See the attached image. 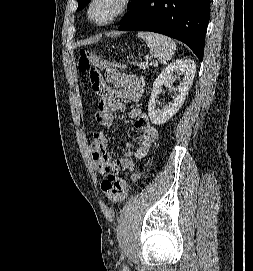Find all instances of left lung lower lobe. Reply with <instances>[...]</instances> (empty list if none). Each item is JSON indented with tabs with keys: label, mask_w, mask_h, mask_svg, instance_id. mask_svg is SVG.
<instances>
[{
	"label": "left lung lower lobe",
	"mask_w": 253,
	"mask_h": 271,
	"mask_svg": "<svg viewBox=\"0 0 253 271\" xmlns=\"http://www.w3.org/2000/svg\"><path fill=\"white\" fill-rule=\"evenodd\" d=\"M210 0H136L120 31H152L187 44L202 61Z\"/></svg>",
	"instance_id": "obj_1"
}]
</instances>
